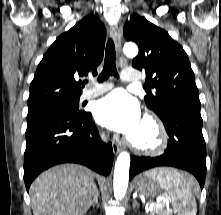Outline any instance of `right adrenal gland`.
<instances>
[{
    "label": "right adrenal gland",
    "mask_w": 221,
    "mask_h": 215,
    "mask_svg": "<svg viewBox=\"0 0 221 215\" xmlns=\"http://www.w3.org/2000/svg\"><path fill=\"white\" fill-rule=\"evenodd\" d=\"M98 198H99V192H98V190H97L96 193H95V195H94V199L92 200L90 206H94L95 204H96L97 206H99Z\"/></svg>",
    "instance_id": "1"
}]
</instances>
